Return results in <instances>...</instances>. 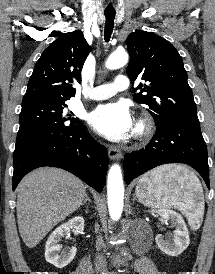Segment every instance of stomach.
Instances as JSON below:
<instances>
[{"mask_svg": "<svg viewBox=\"0 0 215 274\" xmlns=\"http://www.w3.org/2000/svg\"><path fill=\"white\" fill-rule=\"evenodd\" d=\"M137 197H138V196H137ZM138 199H139V201H140V202H142V203L144 204L143 200H141V198H140V197H138Z\"/></svg>", "mask_w": 215, "mask_h": 274, "instance_id": "1", "label": "stomach"}]
</instances>
